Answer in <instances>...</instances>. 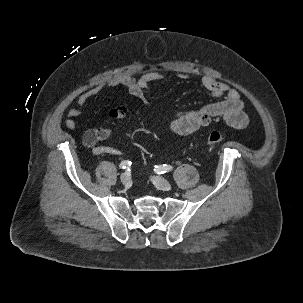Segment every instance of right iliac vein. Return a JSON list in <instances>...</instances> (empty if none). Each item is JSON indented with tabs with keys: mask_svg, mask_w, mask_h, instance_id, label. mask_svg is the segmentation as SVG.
I'll use <instances>...</instances> for the list:
<instances>
[{
	"mask_svg": "<svg viewBox=\"0 0 303 303\" xmlns=\"http://www.w3.org/2000/svg\"><path fill=\"white\" fill-rule=\"evenodd\" d=\"M120 180H121L122 184L125 186H129L131 184V178L128 173H123L120 177Z\"/></svg>",
	"mask_w": 303,
	"mask_h": 303,
	"instance_id": "63e3f726",
	"label": "right iliac vein"
}]
</instances>
